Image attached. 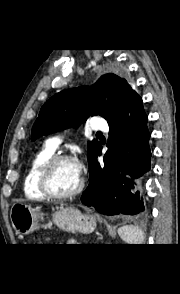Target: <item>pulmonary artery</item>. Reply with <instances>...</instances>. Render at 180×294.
Masks as SVG:
<instances>
[{"label": "pulmonary artery", "mask_w": 180, "mask_h": 294, "mask_svg": "<svg viewBox=\"0 0 180 294\" xmlns=\"http://www.w3.org/2000/svg\"><path fill=\"white\" fill-rule=\"evenodd\" d=\"M93 120L92 129L101 131L109 130V126L105 120L99 117H94ZM60 143L61 141L59 138H50L47 141V146L56 151L59 148Z\"/></svg>", "instance_id": "e3ab8cb5"}]
</instances>
